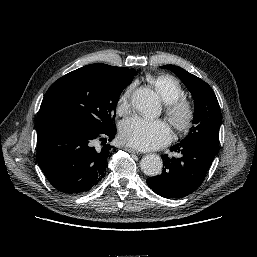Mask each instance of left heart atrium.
Instances as JSON below:
<instances>
[{
	"instance_id": "left-heart-atrium-1",
	"label": "left heart atrium",
	"mask_w": 257,
	"mask_h": 257,
	"mask_svg": "<svg viewBox=\"0 0 257 257\" xmlns=\"http://www.w3.org/2000/svg\"><path fill=\"white\" fill-rule=\"evenodd\" d=\"M119 139L123 144L136 149L151 150L168 144L171 133L162 121L134 116L120 124Z\"/></svg>"
}]
</instances>
